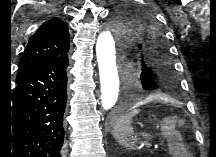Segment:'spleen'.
<instances>
[{"instance_id":"obj_1","label":"spleen","mask_w":216,"mask_h":157,"mask_svg":"<svg viewBox=\"0 0 216 157\" xmlns=\"http://www.w3.org/2000/svg\"><path fill=\"white\" fill-rule=\"evenodd\" d=\"M139 112L140 110H134L123 116L116 123L112 132L117 143L128 150L136 149V140L133 139L134 131L131 123L133 117ZM141 135L144 138L152 137V135L146 133H141Z\"/></svg>"}]
</instances>
